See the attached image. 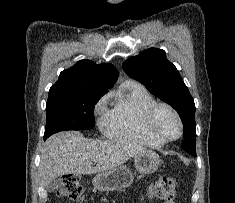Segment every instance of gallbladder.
Masks as SVG:
<instances>
[{
  "instance_id": "1",
  "label": "gallbladder",
  "mask_w": 235,
  "mask_h": 203,
  "mask_svg": "<svg viewBox=\"0 0 235 203\" xmlns=\"http://www.w3.org/2000/svg\"><path fill=\"white\" fill-rule=\"evenodd\" d=\"M61 185V180L60 178L54 179L50 184L47 186V191L48 192H53L56 188H58Z\"/></svg>"
}]
</instances>
